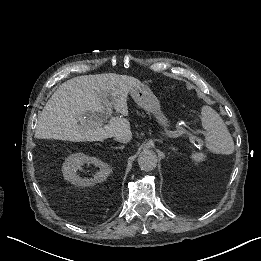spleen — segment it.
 <instances>
[{
    "label": "spleen",
    "instance_id": "3e777b00",
    "mask_svg": "<svg viewBox=\"0 0 261 261\" xmlns=\"http://www.w3.org/2000/svg\"><path fill=\"white\" fill-rule=\"evenodd\" d=\"M201 115L202 126L206 130L204 135L207 149L215 154H232L234 141L220 115L208 106L202 108ZM191 159L199 163L206 159V155L202 152L192 153Z\"/></svg>",
    "mask_w": 261,
    "mask_h": 261
}]
</instances>
